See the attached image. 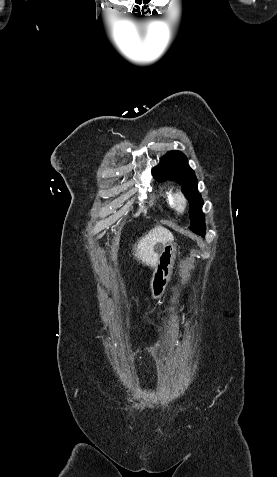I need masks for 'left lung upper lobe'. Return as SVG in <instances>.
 Instances as JSON below:
<instances>
[{
  "label": "left lung upper lobe",
  "mask_w": 277,
  "mask_h": 477,
  "mask_svg": "<svg viewBox=\"0 0 277 477\" xmlns=\"http://www.w3.org/2000/svg\"><path fill=\"white\" fill-rule=\"evenodd\" d=\"M152 175L160 181L169 179L182 185V192L189 200L190 229L205 234V218L201 210L203 200L198 192L195 172L189 167L186 156L179 151L168 152L152 169Z\"/></svg>",
  "instance_id": "left-lung-upper-lobe-1"
}]
</instances>
